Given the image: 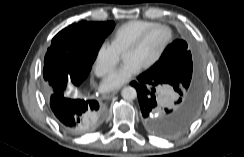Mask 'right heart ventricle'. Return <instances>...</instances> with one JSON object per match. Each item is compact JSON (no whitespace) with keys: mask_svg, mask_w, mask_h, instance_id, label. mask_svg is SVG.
<instances>
[{"mask_svg":"<svg viewBox=\"0 0 244 157\" xmlns=\"http://www.w3.org/2000/svg\"><path fill=\"white\" fill-rule=\"evenodd\" d=\"M157 23L146 20H131L120 25L112 35V43L122 53L126 47L144 30Z\"/></svg>","mask_w":244,"mask_h":157,"instance_id":"1","label":"right heart ventricle"}]
</instances>
